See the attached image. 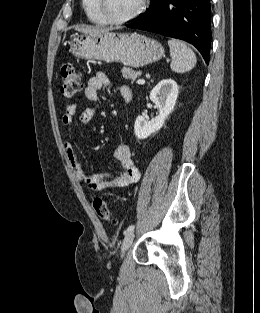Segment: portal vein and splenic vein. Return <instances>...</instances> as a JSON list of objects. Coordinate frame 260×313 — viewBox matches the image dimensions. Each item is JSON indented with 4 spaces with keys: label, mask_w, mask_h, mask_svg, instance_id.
I'll list each match as a JSON object with an SVG mask.
<instances>
[{
    "label": "portal vein and splenic vein",
    "mask_w": 260,
    "mask_h": 313,
    "mask_svg": "<svg viewBox=\"0 0 260 313\" xmlns=\"http://www.w3.org/2000/svg\"><path fill=\"white\" fill-rule=\"evenodd\" d=\"M145 83L144 79H139L137 80V84L143 85Z\"/></svg>",
    "instance_id": "portal-vein-and-splenic-vein-1"
}]
</instances>
